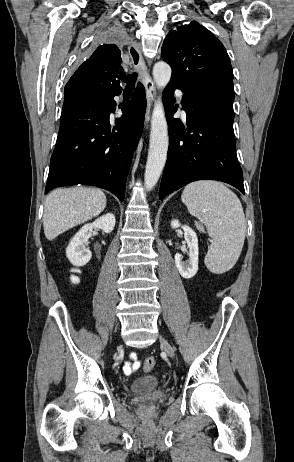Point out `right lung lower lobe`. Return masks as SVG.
Here are the masks:
<instances>
[{
    "label": "right lung lower lobe",
    "instance_id": "right-lung-lower-lobe-1",
    "mask_svg": "<svg viewBox=\"0 0 294 462\" xmlns=\"http://www.w3.org/2000/svg\"><path fill=\"white\" fill-rule=\"evenodd\" d=\"M121 92L62 111L45 194L56 187L84 184L109 190L123 201L133 150L142 133L146 97L139 83L112 126L114 97Z\"/></svg>",
    "mask_w": 294,
    "mask_h": 462
}]
</instances>
